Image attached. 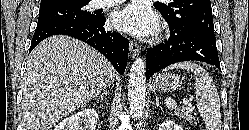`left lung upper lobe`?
Returning a JSON list of instances; mask_svg holds the SVG:
<instances>
[{"label": "left lung upper lobe", "instance_id": "left-lung-upper-lobe-1", "mask_svg": "<svg viewBox=\"0 0 249 130\" xmlns=\"http://www.w3.org/2000/svg\"><path fill=\"white\" fill-rule=\"evenodd\" d=\"M154 6L168 24L179 30L199 29L214 33L210 0H173L168 4L156 2Z\"/></svg>", "mask_w": 249, "mask_h": 130}]
</instances>
